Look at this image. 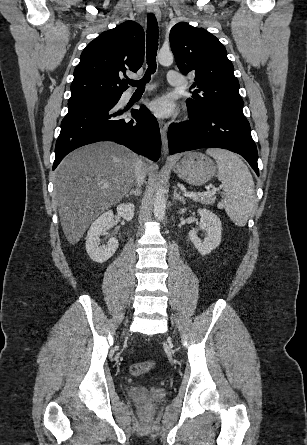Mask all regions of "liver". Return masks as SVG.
<instances>
[{
	"instance_id": "1",
	"label": "liver",
	"mask_w": 307,
	"mask_h": 445,
	"mask_svg": "<svg viewBox=\"0 0 307 445\" xmlns=\"http://www.w3.org/2000/svg\"><path fill=\"white\" fill-rule=\"evenodd\" d=\"M137 154L116 142L76 148L54 170V200L63 233L76 245L93 220L129 192Z\"/></svg>"
}]
</instances>
